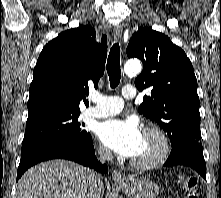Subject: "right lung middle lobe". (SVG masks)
Returning <instances> with one entry per match:
<instances>
[{
    "label": "right lung middle lobe",
    "mask_w": 221,
    "mask_h": 198,
    "mask_svg": "<svg viewBox=\"0 0 221 198\" xmlns=\"http://www.w3.org/2000/svg\"><path fill=\"white\" fill-rule=\"evenodd\" d=\"M80 112L51 114L26 123L21 151L42 141L66 138L86 140L90 134L78 122Z\"/></svg>",
    "instance_id": "right-lung-middle-lobe-1"
}]
</instances>
